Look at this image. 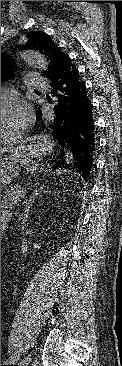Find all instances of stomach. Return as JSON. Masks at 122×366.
I'll use <instances>...</instances> for the list:
<instances>
[{"instance_id": "stomach-1", "label": "stomach", "mask_w": 122, "mask_h": 366, "mask_svg": "<svg viewBox=\"0 0 122 366\" xmlns=\"http://www.w3.org/2000/svg\"><path fill=\"white\" fill-rule=\"evenodd\" d=\"M39 141H32L29 147L37 146ZM20 157L18 154L1 157V184L9 183L18 175L20 166Z\"/></svg>"}]
</instances>
